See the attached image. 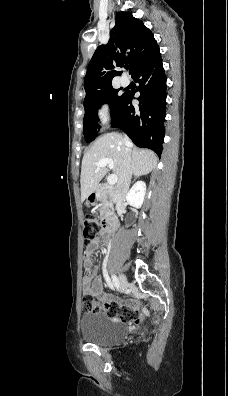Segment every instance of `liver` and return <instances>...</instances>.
Masks as SVG:
<instances>
[{
	"label": "liver",
	"instance_id": "1",
	"mask_svg": "<svg viewBox=\"0 0 228 396\" xmlns=\"http://www.w3.org/2000/svg\"><path fill=\"white\" fill-rule=\"evenodd\" d=\"M127 148L131 150L130 165L133 175H146L155 169L158 157L154 152L137 148L131 141L127 147L121 134L107 133L99 137L83 156L80 176L82 202L96 191L99 182L108 172L106 166L97 167L96 163L104 158L112 159L114 163L113 172L119 179Z\"/></svg>",
	"mask_w": 228,
	"mask_h": 396
}]
</instances>
